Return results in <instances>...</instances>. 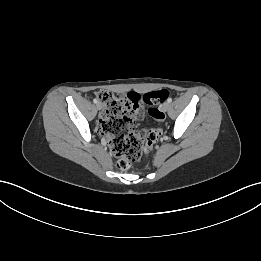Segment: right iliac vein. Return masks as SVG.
Wrapping results in <instances>:
<instances>
[{
	"label": "right iliac vein",
	"mask_w": 261,
	"mask_h": 261,
	"mask_svg": "<svg viewBox=\"0 0 261 261\" xmlns=\"http://www.w3.org/2000/svg\"><path fill=\"white\" fill-rule=\"evenodd\" d=\"M97 109L101 110L102 109V104L101 103H97Z\"/></svg>",
	"instance_id": "right-iliac-vein-1"
}]
</instances>
